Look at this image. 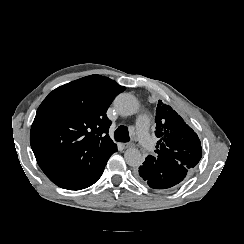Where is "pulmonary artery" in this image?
Masks as SVG:
<instances>
[{"mask_svg":"<svg viewBox=\"0 0 244 244\" xmlns=\"http://www.w3.org/2000/svg\"><path fill=\"white\" fill-rule=\"evenodd\" d=\"M149 123V114L146 111H141L138 114V121L136 127V136L138 145L144 149H149L152 146V140L147 135V127Z\"/></svg>","mask_w":244,"mask_h":244,"instance_id":"1","label":"pulmonary artery"}]
</instances>
